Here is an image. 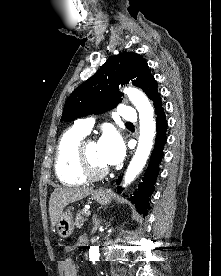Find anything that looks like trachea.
Segmentation results:
<instances>
[{"label":"trachea","instance_id":"trachea-1","mask_svg":"<svg viewBox=\"0 0 221 276\" xmlns=\"http://www.w3.org/2000/svg\"><path fill=\"white\" fill-rule=\"evenodd\" d=\"M126 124L130 125V124H132V123L127 122Z\"/></svg>","mask_w":221,"mask_h":276}]
</instances>
